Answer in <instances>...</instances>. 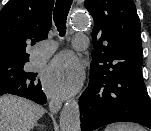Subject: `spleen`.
<instances>
[{
    "label": "spleen",
    "mask_w": 151,
    "mask_h": 131,
    "mask_svg": "<svg viewBox=\"0 0 151 131\" xmlns=\"http://www.w3.org/2000/svg\"><path fill=\"white\" fill-rule=\"evenodd\" d=\"M105 131H144V129L138 125L118 123L107 126Z\"/></svg>",
    "instance_id": "obj_1"
}]
</instances>
